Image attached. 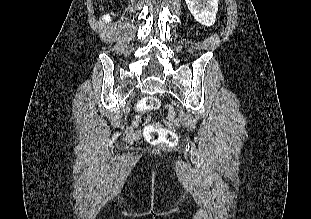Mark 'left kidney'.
<instances>
[{
	"label": "left kidney",
	"instance_id": "5707ae66",
	"mask_svg": "<svg viewBox=\"0 0 311 219\" xmlns=\"http://www.w3.org/2000/svg\"><path fill=\"white\" fill-rule=\"evenodd\" d=\"M194 19L205 26L215 23L219 0H185Z\"/></svg>",
	"mask_w": 311,
	"mask_h": 219
}]
</instances>
